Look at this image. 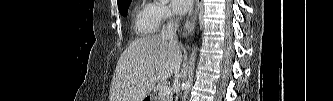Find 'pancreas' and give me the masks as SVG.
<instances>
[{"label":"pancreas","instance_id":"obj_1","mask_svg":"<svg viewBox=\"0 0 333 101\" xmlns=\"http://www.w3.org/2000/svg\"><path fill=\"white\" fill-rule=\"evenodd\" d=\"M171 98H172L171 94L167 96H162L159 92L158 95L155 97V101H171Z\"/></svg>","mask_w":333,"mask_h":101}]
</instances>
